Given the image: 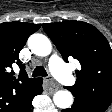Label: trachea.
I'll use <instances>...</instances> for the list:
<instances>
[{
    "mask_svg": "<svg viewBox=\"0 0 112 112\" xmlns=\"http://www.w3.org/2000/svg\"><path fill=\"white\" fill-rule=\"evenodd\" d=\"M32 76L33 77H37V76H43V77H45V76H47V72H46V70H45V68L43 66H37L34 69V71L32 73Z\"/></svg>",
    "mask_w": 112,
    "mask_h": 112,
    "instance_id": "3493384b",
    "label": "trachea"
}]
</instances>
